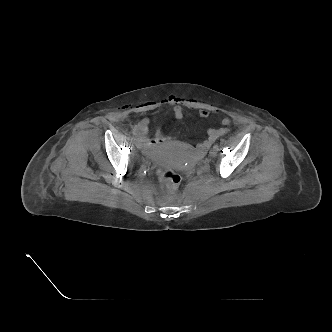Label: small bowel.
<instances>
[{"label": "small bowel", "mask_w": 332, "mask_h": 332, "mask_svg": "<svg viewBox=\"0 0 332 332\" xmlns=\"http://www.w3.org/2000/svg\"><path fill=\"white\" fill-rule=\"evenodd\" d=\"M162 105H170L173 109V114L176 119H183L186 116V111L184 109V102L181 98L176 96H169L165 100L155 102L149 105V108L154 109ZM199 116L201 118H207L209 116V112L207 110H200ZM231 120L229 117H224L221 120V127L219 128H209L207 130V139L200 143L197 146V150L200 154L204 153L220 136L226 134L229 131L228 125ZM150 119L144 118L142 119L136 128L142 135H146L149 130ZM164 142L162 137H156L153 140H149L147 138L144 139L143 149L146 153H152L154 149L159 147Z\"/></svg>", "instance_id": "small-bowel-1"}]
</instances>
